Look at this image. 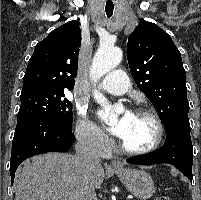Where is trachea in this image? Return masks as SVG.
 I'll use <instances>...</instances> for the list:
<instances>
[{"mask_svg": "<svg viewBox=\"0 0 201 200\" xmlns=\"http://www.w3.org/2000/svg\"><path fill=\"white\" fill-rule=\"evenodd\" d=\"M114 6L113 5H106L105 6V13L108 18L113 15Z\"/></svg>", "mask_w": 201, "mask_h": 200, "instance_id": "3493384b", "label": "trachea"}]
</instances>
